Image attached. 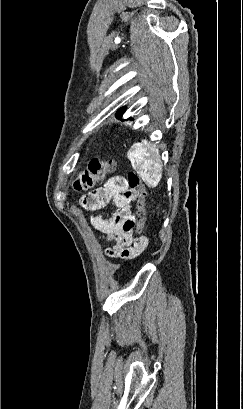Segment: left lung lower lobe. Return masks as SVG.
<instances>
[{
    "label": "left lung lower lobe",
    "mask_w": 243,
    "mask_h": 409,
    "mask_svg": "<svg viewBox=\"0 0 243 409\" xmlns=\"http://www.w3.org/2000/svg\"><path fill=\"white\" fill-rule=\"evenodd\" d=\"M122 114H123V113H117V114H116V118H118V119L121 120Z\"/></svg>",
    "instance_id": "1"
}]
</instances>
